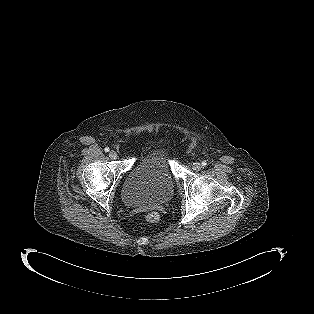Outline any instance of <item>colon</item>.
<instances>
[{"instance_id":"colon-1","label":"colon","mask_w":314,"mask_h":314,"mask_svg":"<svg viewBox=\"0 0 314 314\" xmlns=\"http://www.w3.org/2000/svg\"><path fill=\"white\" fill-rule=\"evenodd\" d=\"M146 221L150 224L157 223L159 221V215L155 212L149 213L146 216Z\"/></svg>"}]
</instances>
